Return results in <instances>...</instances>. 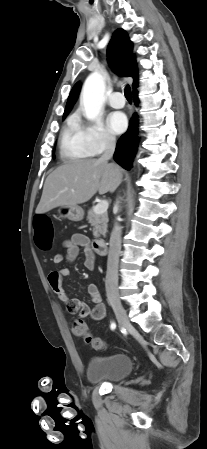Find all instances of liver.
Listing matches in <instances>:
<instances>
[{
	"label": "liver",
	"instance_id": "6515ba94",
	"mask_svg": "<svg viewBox=\"0 0 207 449\" xmlns=\"http://www.w3.org/2000/svg\"><path fill=\"white\" fill-rule=\"evenodd\" d=\"M121 169L100 159L75 160L57 167L46 179L37 214L63 205L87 202L99 191L114 192L121 183Z\"/></svg>",
	"mask_w": 207,
	"mask_h": 449
}]
</instances>
